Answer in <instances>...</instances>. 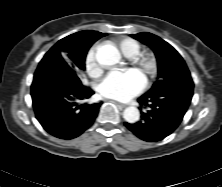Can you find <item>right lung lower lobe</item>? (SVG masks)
<instances>
[{
  "label": "right lung lower lobe",
  "mask_w": 222,
  "mask_h": 187,
  "mask_svg": "<svg viewBox=\"0 0 222 187\" xmlns=\"http://www.w3.org/2000/svg\"><path fill=\"white\" fill-rule=\"evenodd\" d=\"M93 94L62 58H43L31 86L36 118L48 133L66 140L76 138L93 124L101 103H80Z\"/></svg>",
  "instance_id": "obj_1"
}]
</instances>
